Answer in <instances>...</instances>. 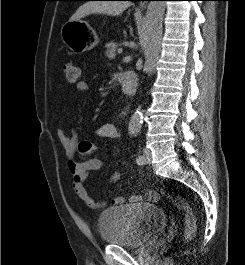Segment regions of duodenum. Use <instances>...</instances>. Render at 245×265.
<instances>
[{
	"instance_id": "410a0bca",
	"label": "duodenum",
	"mask_w": 245,
	"mask_h": 265,
	"mask_svg": "<svg viewBox=\"0 0 245 265\" xmlns=\"http://www.w3.org/2000/svg\"><path fill=\"white\" fill-rule=\"evenodd\" d=\"M117 82L128 96H134L137 91L138 77L133 71H123L116 74Z\"/></svg>"
}]
</instances>
